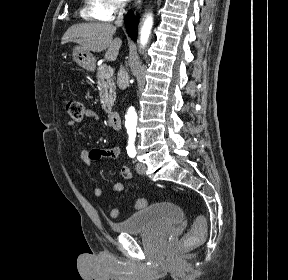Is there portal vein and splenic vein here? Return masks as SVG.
<instances>
[{"label": "portal vein and splenic vein", "instance_id": "1", "mask_svg": "<svg viewBox=\"0 0 288 280\" xmlns=\"http://www.w3.org/2000/svg\"><path fill=\"white\" fill-rule=\"evenodd\" d=\"M107 74L108 75H113V69L111 67L107 68Z\"/></svg>", "mask_w": 288, "mask_h": 280}]
</instances>
